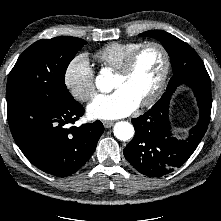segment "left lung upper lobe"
<instances>
[{
  "instance_id": "1",
  "label": "left lung upper lobe",
  "mask_w": 221,
  "mask_h": 221,
  "mask_svg": "<svg viewBox=\"0 0 221 221\" xmlns=\"http://www.w3.org/2000/svg\"><path fill=\"white\" fill-rule=\"evenodd\" d=\"M139 36H149L159 40L168 52L173 76L166 90L189 82L210 85V77L201 58L187 43L162 30L146 31L139 34Z\"/></svg>"
}]
</instances>
